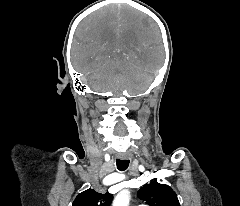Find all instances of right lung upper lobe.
Listing matches in <instances>:
<instances>
[{"mask_svg":"<svg viewBox=\"0 0 240 206\" xmlns=\"http://www.w3.org/2000/svg\"><path fill=\"white\" fill-rule=\"evenodd\" d=\"M113 195L110 193H98L88 189L80 193L72 203V206H110Z\"/></svg>","mask_w":240,"mask_h":206,"instance_id":"1","label":"right lung upper lobe"}]
</instances>
